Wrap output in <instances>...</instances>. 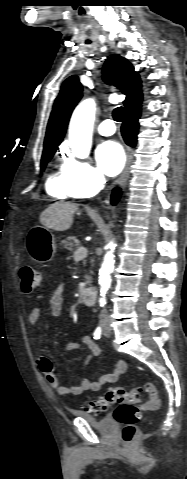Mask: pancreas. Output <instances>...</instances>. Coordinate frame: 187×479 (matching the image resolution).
Listing matches in <instances>:
<instances>
[{
	"label": "pancreas",
	"instance_id": "pancreas-1",
	"mask_svg": "<svg viewBox=\"0 0 187 479\" xmlns=\"http://www.w3.org/2000/svg\"><path fill=\"white\" fill-rule=\"evenodd\" d=\"M61 245L63 246V248L68 249L69 251H73L74 248L81 247L80 241L75 236H70L65 240H62ZM85 278V285H89L91 283V277L87 275L85 276Z\"/></svg>",
	"mask_w": 187,
	"mask_h": 479
}]
</instances>
